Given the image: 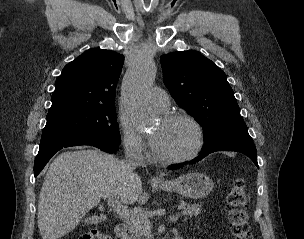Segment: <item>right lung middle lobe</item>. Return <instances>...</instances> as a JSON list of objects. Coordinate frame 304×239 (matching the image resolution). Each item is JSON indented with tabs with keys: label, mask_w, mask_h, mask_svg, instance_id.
<instances>
[{
	"label": "right lung middle lobe",
	"mask_w": 304,
	"mask_h": 239,
	"mask_svg": "<svg viewBox=\"0 0 304 239\" xmlns=\"http://www.w3.org/2000/svg\"><path fill=\"white\" fill-rule=\"evenodd\" d=\"M62 136H86L121 142L115 105L66 109L47 114L42 139Z\"/></svg>",
	"instance_id": "dd1d6c3e"
}]
</instances>
